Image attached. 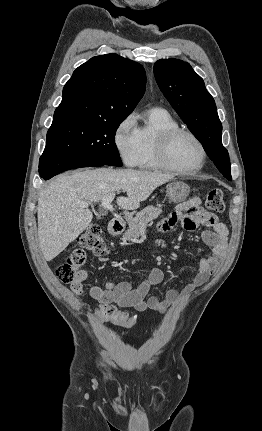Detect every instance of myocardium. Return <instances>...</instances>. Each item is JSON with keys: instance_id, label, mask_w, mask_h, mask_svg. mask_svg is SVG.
Returning <instances> with one entry per match:
<instances>
[{"instance_id": "obj_1", "label": "myocardium", "mask_w": 262, "mask_h": 431, "mask_svg": "<svg viewBox=\"0 0 262 431\" xmlns=\"http://www.w3.org/2000/svg\"><path fill=\"white\" fill-rule=\"evenodd\" d=\"M179 135L189 136L191 139H193L196 142V144L200 149L201 160L199 165L193 170H190V171L184 170L176 166L171 160L170 146L174 138H176ZM156 154H157L158 162L164 170L174 172L183 176H193L197 174L200 170L203 169L207 160V151L201 139L192 131L188 129L180 128V127L166 129L159 134L158 140H157Z\"/></svg>"}]
</instances>
